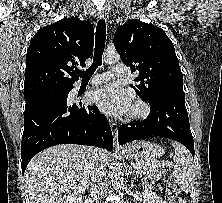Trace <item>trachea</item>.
<instances>
[{
    "mask_svg": "<svg viewBox=\"0 0 222 203\" xmlns=\"http://www.w3.org/2000/svg\"><path fill=\"white\" fill-rule=\"evenodd\" d=\"M106 41V23L104 19H100L96 27L95 36V51L93 57V63L90 68L86 71H79L77 74L82 78V80H89L90 77L95 72L98 66L102 65V55L105 48Z\"/></svg>",
    "mask_w": 222,
    "mask_h": 203,
    "instance_id": "1",
    "label": "trachea"
}]
</instances>
